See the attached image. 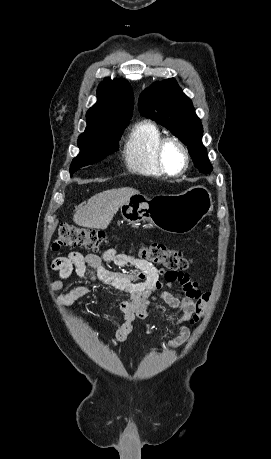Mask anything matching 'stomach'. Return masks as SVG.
Returning <instances> with one entry per match:
<instances>
[{"instance_id":"0dacf381","label":"stomach","mask_w":271,"mask_h":459,"mask_svg":"<svg viewBox=\"0 0 271 459\" xmlns=\"http://www.w3.org/2000/svg\"><path fill=\"white\" fill-rule=\"evenodd\" d=\"M212 210V196L203 186L190 188L176 196H154L152 200L136 194L120 206L121 216L128 224L150 222L168 233H188Z\"/></svg>"}]
</instances>
